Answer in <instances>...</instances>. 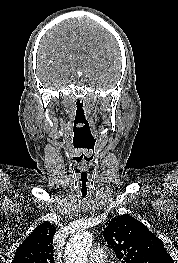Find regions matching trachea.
<instances>
[{"instance_id": "3493384b", "label": "trachea", "mask_w": 178, "mask_h": 263, "mask_svg": "<svg viewBox=\"0 0 178 263\" xmlns=\"http://www.w3.org/2000/svg\"><path fill=\"white\" fill-rule=\"evenodd\" d=\"M80 190L82 196H86L88 192V174L86 171L81 172L80 175Z\"/></svg>"}]
</instances>
